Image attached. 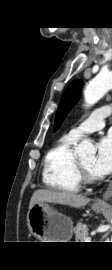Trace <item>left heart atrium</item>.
<instances>
[{
    "instance_id": "39dd6f15",
    "label": "left heart atrium",
    "mask_w": 112,
    "mask_h": 270,
    "mask_svg": "<svg viewBox=\"0 0 112 270\" xmlns=\"http://www.w3.org/2000/svg\"><path fill=\"white\" fill-rule=\"evenodd\" d=\"M91 170L96 177H103L112 172V133L99 140Z\"/></svg>"
}]
</instances>
